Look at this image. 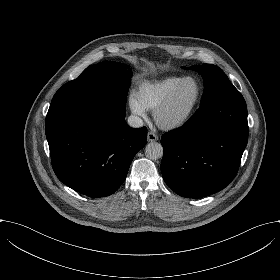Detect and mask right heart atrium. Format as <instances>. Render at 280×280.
<instances>
[{
    "label": "right heart atrium",
    "instance_id": "obj_1",
    "mask_svg": "<svg viewBox=\"0 0 280 280\" xmlns=\"http://www.w3.org/2000/svg\"><path fill=\"white\" fill-rule=\"evenodd\" d=\"M128 104L130 109L135 113L138 114L140 116H145L146 115V111L145 109L138 103L137 99L135 98V96H131L128 100Z\"/></svg>",
    "mask_w": 280,
    "mask_h": 280
}]
</instances>
